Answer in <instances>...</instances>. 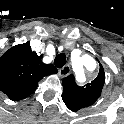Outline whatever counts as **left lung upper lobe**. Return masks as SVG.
Returning <instances> with one entry per match:
<instances>
[{
	"label": "left lung upper lobe",
	"instance_id": "obj_1",
	"mask_svg": "<svg viewBox=\"0 0 124 124\" xmlns=\"http://www.w3.org/2000/svg\"><path fill=\"white\" fill-rule=\"evenodd\" d=\"M104 82L105 73L102 66H100L98 76L91 83L82 87L76 85L74 76L70 75L62 81V99L71 111L76 112L97 101L101 95Z\"/></svg>",
	"mask_w": 124,
	"mask_h": 124
}]
</instances>
